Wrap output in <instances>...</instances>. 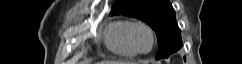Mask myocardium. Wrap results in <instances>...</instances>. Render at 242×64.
Segmentation results:
<instances>
[{
  "mask_svg": "<svg viewBox=\"0 0 242 64\" xmlns=\"http://www.w3.org/2000/svg\"><path fill=\"white\" fill-rule=\"evenodd\" d=\"M138 28L145 29L150 35L151 45H150V48L148 50L143 51V50L139 49L137 47L135 41H134V32ZM127 37H128V41H129L130 46L133 48V50L137 54H148V53H150L153 50L155 43H156V36H155V32H154L153 28L148 23H146L144 21L132 22L129 29H128Z\"/></svg>",
  "mask_w": 242,
  "mask_h": 64,
  "instance_id": "myocardium-1",
  "label": "myocardium"
}]
</instances>
